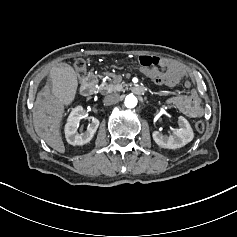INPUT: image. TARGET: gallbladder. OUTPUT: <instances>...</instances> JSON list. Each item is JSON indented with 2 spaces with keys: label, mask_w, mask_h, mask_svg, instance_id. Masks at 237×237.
<instances>
[{
  "label": "gallbladder",
  "mask_w": 237,
  "mask_h": 237,
  "mask_svg": "<svg viewBox=\"0 0 237 237\" xmlns=\"http://www.w3.org/2000/svg\"><path fill=\"white\" fill-rule=\"evenodd\" d=\"M77 77L71 65H55L51 72V88L61 105H69L75 99Z\"/></svg>",
  "instance_id": "bac80fb5"
}]
</instances>
